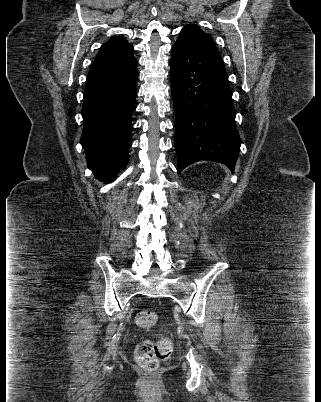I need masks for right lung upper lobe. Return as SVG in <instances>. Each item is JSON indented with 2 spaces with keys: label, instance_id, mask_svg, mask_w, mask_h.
Here are the masks:
<instances>
[{
  "label": "right lung upper lobe",
  "instance_id": "1",
  "mask_svg": "<svg viewBox=\"0 0 321 402\" xmlns=\"http://www.w3.org/2000/svg\"><path fill=\"white\" fill-rule=\"evenodd\" d=\"M135 64L133 46L125 39L115 37L101 46L92 69L124 68Z\"/></svg>",
  "mask_w": 321,
  "mask_h": 402
}]
</instances>
